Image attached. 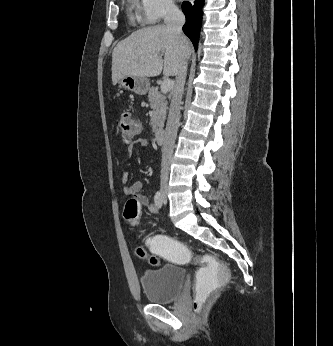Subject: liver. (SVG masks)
Segmentation results:
<instances>
[{
  "mask_svg": "<svg viewBox=\"0 0 333 346\" xmlns=\"http://www.w3.org/2000/svg\"><path fill=\"white\" fill-rule=\"evenodd\" d=\"M192 53L185 37V54ZM164 55V59L162 58ZM182 51L178 36L165 25L140 29L119 42L112 52V83L125 76H175Z\"/></svg>",
  "mask_w": 333,
  "mask_h": 346,
  "instance_id": "1",
  "label": "liver"
}]
</instances>
